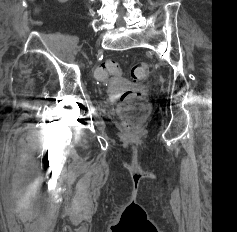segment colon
Segmentation results:
<instances>
[{"label": "colon", "instance_id": "5ec220e1", "mask_svg": "<svg viewBox=\"0 0 237 232\" xmlns=\"http://www.w3.org/2000/svg\"><path fill=\"white\" fill-rule=\"evenodd\" d=\"M150 65L147 62L136 63L130 75L133 81H142L148 77ZM122 70L113 60L102 61L96 70V75L100 79L110 76H121ZM149 113L147 102V88L139 86L126 91L120 101L119 116L124 128L130 132L138 131L145 123Z\"/></svg>", "mask_w": 237, "mask_h": 232}]
</instances>
